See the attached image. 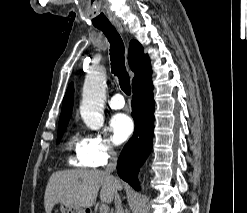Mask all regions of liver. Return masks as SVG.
<instances>
[{
    "label": "liver",
    "instance_id": "obj_1",
    "mask_svg": "<svg viewBox=\"0 0 247 213\" xmlns=\"http://www.w3.org/2000/svg\"><path fill=\"white\" fill-rule=\"evenodd\" d=\"M102 202L112 203L121 184L102 170H64L54 172L47 183L44 206L51 213L57 203L90 208L96 202L99 189Z\"/></svg>",
    "mask_w": 247,
    "mask_h": 213
}]
</instances>
